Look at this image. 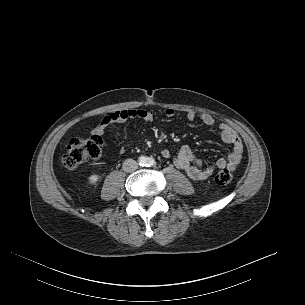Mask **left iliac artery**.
Returning a JSON list of instances; mask_svg holds the SVG:
<instances>
[{
    "label": "left iliac artery",
    "instance_id": "left-iliac-artery-1",
    "mask_svg": "<svg viewBox=\"0 0 305 305\" xmlns=\"http://www.w3.org/2000/svg\"><path fill=\"white\" fill-rule=\"evenodd\" d=\"M146 165L148 167H155L156 166V161L153 158H148Z\"/></svg>",
    "mask_w": 305,
    "mask_h": 305
}]
</instances>
